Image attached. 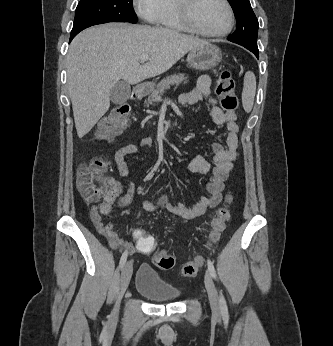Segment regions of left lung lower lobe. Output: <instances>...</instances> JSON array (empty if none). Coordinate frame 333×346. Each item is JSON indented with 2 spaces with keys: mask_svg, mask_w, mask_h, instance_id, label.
I'll list each match as a JSON object with an SVG mask.
<instances>
[{
  "mask_svg": "<svg viewBox=\"0 0 333 346\" xmlns=\"http://www.w3.org/2000/svg\"><path fill=\"white\" fill-rule=\"evenodd\" d=\"M248 50H250L251 52H253V53L256 55L257 58L259 57V51H258V49L249 48Z\"/></svg>",
  "mask_w": 333,
  "mask_h": 346,
  "instance_id": "left-lung-lower-lobe-1",
  "label": "left lung lower lobe"
}]
</instances>
